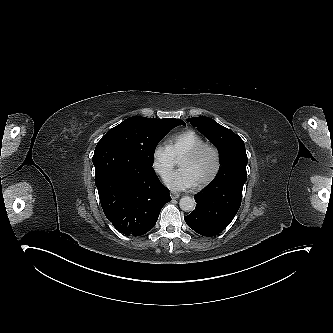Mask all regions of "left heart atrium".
<instances>
[{"label": "left heart atrium", "mask_w": 333, "mask_h": 333, "mask_svg": "<svg viewBox=\"0 0 333 333\" xmlns=\"http://www.w3.org/2000/svg\"><path fill=\"white\" fill-rule=\"evenodd\" d=\"M164 183L167 187L173 190H185L192 187L195 181L190 176L188 171L182 168L168 175L165 178Z\"/></svg>", "instance_id": "39dd6f15"}]
</instances>
